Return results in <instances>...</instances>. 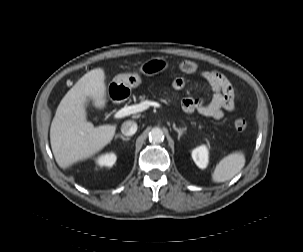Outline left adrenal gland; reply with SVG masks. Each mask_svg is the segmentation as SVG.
I'll return each mask as SVG.
<instances>
[{
    "label": "left adrenal gland",
    "mask_w": 303,
    "mask_h": 252,
    "mask_svg": "<svg viewBox=\"0 0 303 252\" xmlns=\"http://www.w3.org/2000/svg\"><path fill=\"white\" fill-rule=\"evenodd\" d=\"M173 129L178 133V140H180V138H181L183 132L186 130V128L179 129L175 126V124H173Z\"/></svg>",
    "instance_id": "left-adrenal-gland-1"
}]
</instances>
